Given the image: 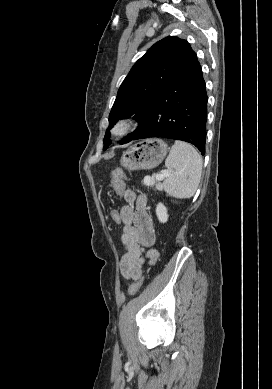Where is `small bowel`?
I'll list each match as a JSON object with an SVG mask.
<instances>
[{"instance_id": "obj_1", "label": "small bowel", "mask_w": 272, "mask_h": 389, "mask_svg": "<svg viewBox=\"0 0 272 389\" xmlns=\"http://www.w3.org/2000/svg\"><path fill=\"white\" fill-rule=\"evenodd\" d=\"M126 205L120 210L122 223L121 242L125 254L121 260V273L127 279L137 280L142 275L146 259L154 263L158 253L151 249L155 242V229L148 213L147 199L133 190L123 193Z\"/></svg>"}]
</instances>
